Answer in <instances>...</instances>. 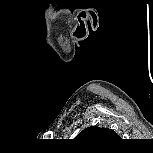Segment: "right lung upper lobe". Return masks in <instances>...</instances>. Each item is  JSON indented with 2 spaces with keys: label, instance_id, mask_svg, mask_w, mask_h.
Returning a JSON list of instances; mask_svg holds the SVG:
<instances>
[{
  "label": "right lung upper lobe",
  "instance_id": "cb5924a9",
  "mask_svg": "<svg viewBox=\"0 0 153 153\" xmlns=\"http://www.w3.org/2000/svg\"><path fill=\"white\" fill-rule=\"evenodd\" d=\"M117 138L118 135L112 129L91 126L84 129L75 139L81 142H98Z\"/></svg>",
  "mask_w": 153,
  "mask_h": 153
}]
</instances>
